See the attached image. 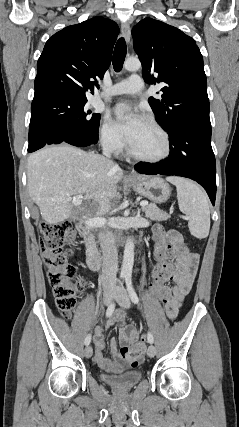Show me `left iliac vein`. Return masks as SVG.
<instances>
[{
  "mask_svg": "<svg viewBox=\"0 0 239 427\" xmlns=\"http://www.w3.org/2000/svg\"><path fill=\"white\" fill-rule=\"evenodd\" d=\"M114 298L121 307L126 309L130 307V299L123 286H118L116 288ZM147 354L151 358L154 357L156 354V348L153 345H149Z\"/></svg>",
  "mask_w": 239,
  "mask_h": 427,
  "instance_id": "4c4485c4",
  "label": "left iliac vein"
}]
</instances>
